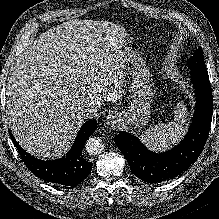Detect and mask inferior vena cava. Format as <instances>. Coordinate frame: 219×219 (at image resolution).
Listing matches in <instances>:
<instances>
[{"mask_svg":"<svg viewBox=\"0 0 219 219\" xmlns=\"http://www.w3.org/2000/svg\"><path fill=\"white\" fill-rule=\"evenodd\" d=\"M96 113H97V111L94 108H90V107H86V106H81L79 108V114L84 119L92 118L96 115Z\"/></svg>","mask_w":219,"mask_h":219,"instance_id":"602c4592","label":"inferior vena cava"}]
</instances>
